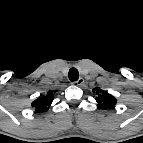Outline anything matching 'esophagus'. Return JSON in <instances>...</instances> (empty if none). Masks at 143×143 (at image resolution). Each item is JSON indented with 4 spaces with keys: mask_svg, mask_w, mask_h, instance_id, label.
<instances>
[{
    "mask_svg": "<svg viewBox=\"0 0 143 143\" xmlns=\"http://www.w3.org/2000/svg\"><path fill=\"white\" fill-rule=\"evenodd\" d=\"M84 83V79L81 77L77 81L73 82L74 85L81 86Z\"/></svg>",
    "mask_w": 143,
    "mask_h": 143,
    "instance_id": "1",
    "label": "esophagus"
}]
</instances>
